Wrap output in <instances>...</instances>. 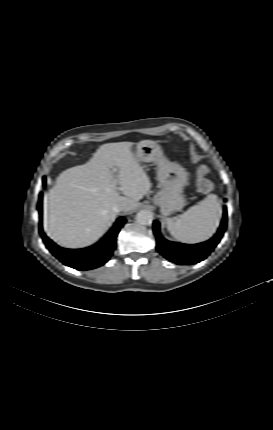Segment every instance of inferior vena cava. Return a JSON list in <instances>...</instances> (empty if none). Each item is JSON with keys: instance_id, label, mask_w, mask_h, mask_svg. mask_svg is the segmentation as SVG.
Listing matches in <instances>:
<instances>
[{"instance_id": "602c4592", "label": "inferior vena cava", "mask_w": 273, "mask_h": 430, "mask_svg": "<svg viewBox=\"0 0 273 430\" xmlns=\"http://www.w3.org/2000/svg\"><path fill=\"white\" fill-rule=\"evenodd\" d=\"M124 207H125L124 203H122V202H118V203H115V204L112 206V210H113L115 213H118V212H120V211H123V210H124Z\"/></svg>"}]
</instances>
